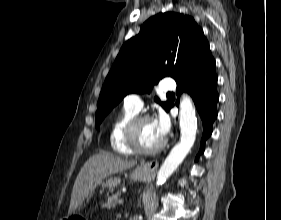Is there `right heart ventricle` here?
Wrapping results in <instances>:
<instances>
[{
  "instance_id": "e07e8e85",
  "label": "right heart ventricle",
  "mask_w": 281,
  "mask_h": 220,
  "mask_svg": "<svg viewBox=\"0 0 281 220\" xmlns=\"http://www.w3.org/2000/svg\"><path fill=\"white\" fill-rule=\"evenodd\" d=\"M138 114V111L124 105L122 110L113 120L109 131V145L112 151L118 155L131 156L134 152L124 142V130L129 121Z\"/></svg>"
}]
</instances>
